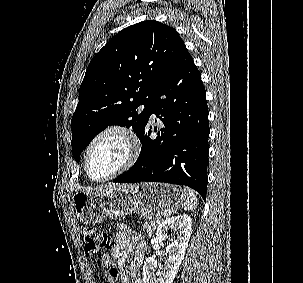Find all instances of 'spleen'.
I'll return each mask as SVG.
<instances>
[{
  "mask_svg": "<svg viewBox=\"0 0 303 283\" xmlns=\"http://www.w3.org/2000/svg\"><path fill=\"white\" fill-rule=\"evenodd\" d=\"M185 197L184 209L185 210H194L198 204V198L194 192L189 188H184L183 191Z\"/></svg>",
  "mask_w": 303,
  "mask_h": 283,
  "instance_id": "1",
  "label": "spleen"
}]
</instances>
